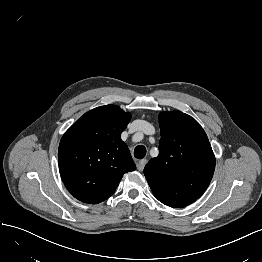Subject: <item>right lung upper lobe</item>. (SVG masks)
Instances as JSON below:
<instances>
[{"label":"right lung upper lobe","mask_w":262,"mask_h":262,"mask_svg":"<svg viewBox=\"0 0 262 262\" xmlns=\"http://www.w3.org/2000/svg\"><path fill=\"white\" fill-rule=\"evenodd\" d=\"M130 113L116 105L94 108L63 135L58 149L61 178L69 192L84 203L110 197L123 175L136 169L121 133Z\"/></svg>","instance_id":"cb5924a9"}]
</instances>
